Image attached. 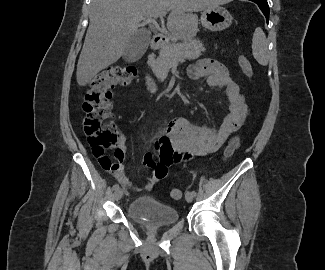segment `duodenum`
I'll return each instance as SVG.
<instances>
[{"label":"duodenum","instance_id":"1","mask_svg":"<svg viewBox=\"0 0 325 270\" xmlns=\"http://www.w3.org/2000/svg\"><path fill=\"white\" fill-rule=\"evenodd\" d=\"M165 36L161 33H156L152 36V40H151V49L153 51L159 49L160 47H162V45L165 42ZM146 80L147 83L151 86V78L147 75L146 76Z\"/></svg>","mask_w":325,"mask_h":270}]
</instances>
